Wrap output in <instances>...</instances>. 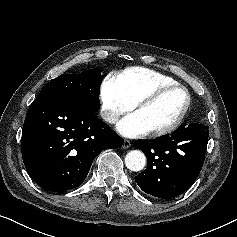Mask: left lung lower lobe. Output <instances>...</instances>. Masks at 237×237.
<instances>
[{
  "label": "left lung lower lobe",
  "mask_w": 237,
  "mask_h": 237,
  "mask_svg": "<svg viewBox=\"0 0 237 237\" xmlns=\"http://www.w3.org/2000/svg\"><path fill=\"white\" fill-rule=\"evenodd\" d=\"M208 129V126L199 123H183L170 135L137 140L135 148L147 157L146 169L135 178L141 190L155 197L170 199L189 189L204 163Z\"/></svg>",
  "instance_id": "1"
}]
</instances>
